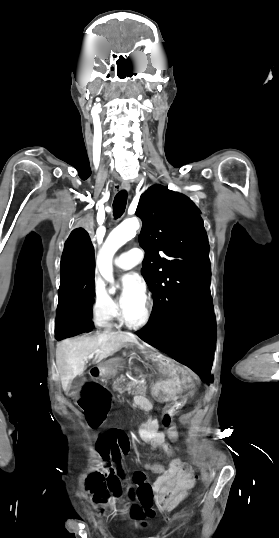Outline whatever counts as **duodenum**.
<instances>
[{"label":"duodenum","mask_w":279,"mask_h":538,"mask_svg":"<svg viewBox=\"0 0 279 538\" xmlns=\"http://www.w3.org/2000/svg\"><path fill=\"white\" fill-rule=\"evenodd\" d=\"M114 369H122V366H105L103 364L91 366L88 371V378L90 380L99 381L102 378V374L113 373ZM134 369H137V366H134ZM140 369H144V366H140ZM136 376H140V373H136ZM151 381H154V378H151ZM148 385H151V382H148ZM152 385H157V382H152ZM149 397L146 396H134V401L138 407H141L144 410V414H149V411L153 409Z\"/></svg>","instance_id":"duodenum-1"}]
</instances>
